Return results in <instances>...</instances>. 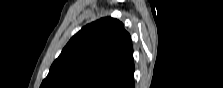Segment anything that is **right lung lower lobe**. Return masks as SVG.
Masks as SVG:
<instances>
[{
	"label": "right lung lower lobe",
	"instance_id": "1",
	"mask_svg": "<svg viewBox=\"0 0 223 88\" xmlns=\"http://www.w3.org/2000/svg\"><path fill=\"white\" fill-rule=\"evenodd\" d=\"M131 88H134V79L131 82Z\"/></svg>",
	"mask_w": 223,
	"mask_h": 88
}]
</instances>
